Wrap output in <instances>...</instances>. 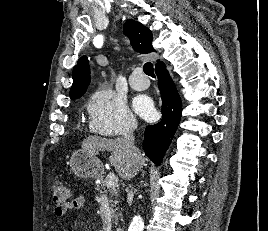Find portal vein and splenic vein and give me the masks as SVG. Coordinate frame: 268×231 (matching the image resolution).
<instances>
[{
	"label": "portal vein and splenic vein",
	"mask_w": 268,
	"mask_h": 231,
	"mask_svg": "<svg viewBox=\"0 0 268 231\" xmlns=\"http://www.w3.org/2000/svg\"><path fill=\"white\" fill-rule=\"evenodd\" d=\"M106 179H107V182H108V186L109 187H114L118 183V177L113 172H110L107 175Z\"/></svg>",
	"instance_id": "portal-vein-and-splenic-vein-1"
}]
</instances>
